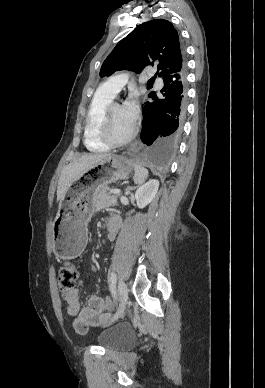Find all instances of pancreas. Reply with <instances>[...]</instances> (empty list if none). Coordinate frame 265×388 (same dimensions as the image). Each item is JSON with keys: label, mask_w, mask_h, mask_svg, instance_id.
Listing matches in <instances>:
<instances>
[{"label": "pancreas", "mask_w": 265, "mask_h": 388, "mask_svg": "<svg viewBox=\"0 0 265 388\" xmlns=\"http://www.w3.org/2000/svg\"><path fill=\"white\" fill-rule=\"evenodd\" d=\"M107 190H109V188H105V186H99V188H97L93 200V206L96 210H103V208L117 206V198L119 194H113V196H111Z\"/></svg>", "instance_id": "pancreas-1"}]
</instances>
